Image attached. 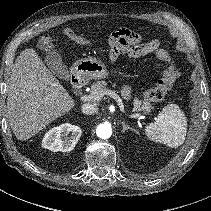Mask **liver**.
Masks as SVG:
<instances>
[{
    "label": "liver",
    "mask_w": 211,
    "mask_h": 211,
    "mask_svg": "<svg viewBox=\"0 0 211 211\" xmlns=\"http://www.w3.org/2000/svg\"><path fill=\"white\" fill-rule=\"evenodd\" d=\"M74 106L36 51L23 50L12 68L7 97V117L16 138H31Z\"/></svg>",
    "instance_id": "liver-1"
}]
</instances>
